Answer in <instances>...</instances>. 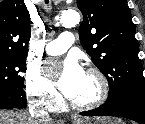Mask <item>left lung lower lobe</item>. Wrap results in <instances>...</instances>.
I'll return each mask as SVG.
<instances>
[{"label":"left lung lower lobe","mask_w":145,"mask_h":124,"mask_svg":"<svg viewBox=\"0 0 145 124\" xmlns=\"http://www.w3.org/2000/svg\"><path fill=\"white\" fill-rule=\"evenodd\" d=\"M84 116H117L145 124V99L135 96H124L99 106L96 109L82 112Z\"/></svg>","instance_id":"0a47b994"}]
</instances>
